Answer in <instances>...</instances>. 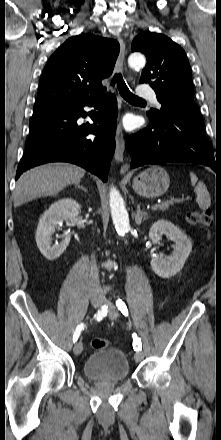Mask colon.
<instances>
[{"label":"colon","instance_id":"obj_1","mask_svg":"<svg viewBox=\"0 0 221 440\" xmlns=\"http://www.w3.org/2000/svg\"><path fill=\"white\" fill-rule=\"evenodd\" d=\"M186 221L190 224H201L210 226L213 221V216L210 211H190L186 214ZM91 345L94 349H105L109 346V341L104 338H95Z\"/></svg>","mask_w":221,"mask_h":440}]
</instances>
